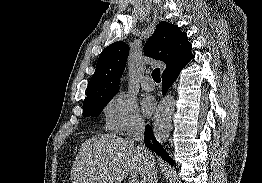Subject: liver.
<instances>
[{
    "label": "liver",
    "mask_w": 262,
    "mask_h": 183,
    "mask_svg": "<svg viewBox=\"0 0 262 183\" xmlns=\"http://www.w3.org/2000/svg\"><path fill=\"white\" fill-rule=\"evenodd\" d=\"M142 158L130 138L98 134L82 143L73 162V183H119L141 173Z\"/></svg>",
    "instance_id": "6515ba94"
}]
</instances>
